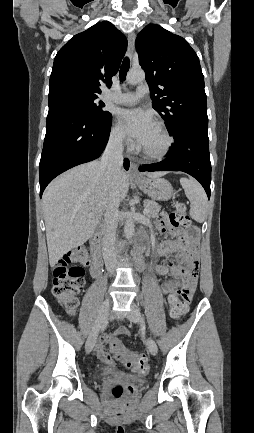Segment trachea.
<instances>
[{
	"label": "trachea",
	"instance_id": "3493384b",
	"mask_svg": "<svg viewBox=\"0 0 254 433\" xmlns=\"http://www.w3.org/2000/svg\"><path fill=\"white\" fill-rule=\"evenodd\" d=\"M129 67H130V60L128 57H125L119 71V78L121 82L125 81Z\"/></svg>",
	"mask_w": 254,
	"mask_h": 433
}]
</instances>
